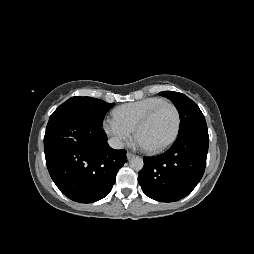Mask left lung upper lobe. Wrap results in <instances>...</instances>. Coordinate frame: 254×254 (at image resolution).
Instances as JSON below:
<instances>
[{
  "instance_id": "left-lung-upper-lobe-1",
  "label": "left lung upper lobe",
  "mask_w": 254,
  "mask_h": 254,
  "mask_svg": "<svg viewBox=\"0 0 254 254\" xmlns=\"http://www.w3.org/2000/svg\"><path fill=\"white\" fill-rule=\"evenodd\" d=\"M159 94L170 99L179 111L180 127L178 137L191 132L208 131L203 113L197 104L186 95L173 91H163Z\"/></svg>"
}]
</instances>
